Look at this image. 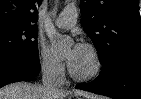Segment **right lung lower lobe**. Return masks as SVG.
Here are the masks:
<instances>
[{
  "mask_svg": "<svg viewBox=\"0 0 141 99\" xmlns=\"http://www.w3.org/2000/svg\"><path fill=\"white\" fill-rule=\"evenodd\" d=\"M40 69L39 57L0 58V88L12 82L30 80L39 74Z\"/></svg>",
  "mask_w": 141,
  "mask_h": 99,
  "instance_id": "1",
  "label": "right lung lower lobe"
}]
</instances>
